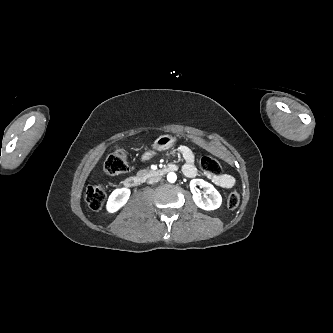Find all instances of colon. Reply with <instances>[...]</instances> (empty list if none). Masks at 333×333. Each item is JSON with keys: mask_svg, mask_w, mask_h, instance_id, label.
<instances>
[{"mask_svg": "<svg viewBox=\"0 0 333 333\" xmlns=\"http://www.w3.org/2000/svg\"><path fill=\"white\" fill-rule=\"evenodd\" d=\"M201 168L211 175H218L221 172L220 163L213 157L204 156L200 160ZM104 170L107 174L117 175L129 170L127 154L122 149H117L111 153L105 161ZM86 201L92 210H100L106 201V190L100 185L89 186L85 193ZM240 195L233 191L228 195L227 206L235 209L239 206Z\"/></svg>", "mask_w": 333, "mask_h": 333, "instance_id": "5ec220e1", "label": "colon"}]
</instances>
